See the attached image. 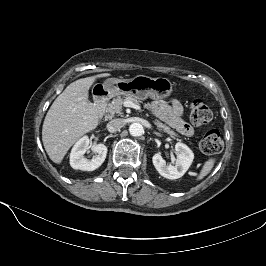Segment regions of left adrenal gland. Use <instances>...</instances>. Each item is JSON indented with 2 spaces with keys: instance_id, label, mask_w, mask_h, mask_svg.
<instances>
[{
  "instance_id": "left-adrenal-gland-1",
  "label": "left adrenal gland",
  "mask_w": 266,
  "mask_h": 266,
  "mask_svg": "<svg viewBox=\"0 0 266 266\" xmlns=\"http://www.w3.org/2000/svg\"><path fill=\"white\" fill-rule=\"evenodd\" d=\"M154 133H155L156 135H158V136H160V135H161L159 132H156V131H154Z\"/></svg>"
}]
</instances>
